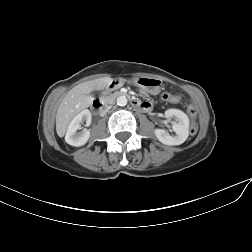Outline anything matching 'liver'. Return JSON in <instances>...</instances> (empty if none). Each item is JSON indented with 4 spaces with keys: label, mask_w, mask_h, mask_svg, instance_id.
I'll return each mask as SVG.
<instances>
[{
    "label": "liver",
    "mask_w": 252,
    "mask_h": 252,
    "mask_svg": "<svg viewBox=\"0 0 252 252\" xmlns=\"http://www.w3.org/2000/svg\"><path fill=\"white\" fill-rule=\"evenodd\" d=\"M112 82V78L105 77L87 81L75 86L64 97L56 114V130L59 136H63L71 120L82 109L91 105L93 97L90 93L94 90H102Z\"/></svg>",
    "instance_id": "6515ba94"
}]
</instances>
